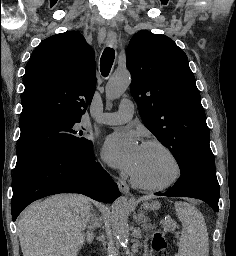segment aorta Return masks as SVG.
Masks as SVG:
<instances>
[{"label": "aorta", "mask_w": 236, "mask_h": 256, "mask_svg": "<svg viewBox=\"0 0 236 256\" xmlns=\"http://www.w3.org/2000/svg\"><path fill=\"white\" fill-rule=\"evenodd\" d=\"M131 83L130 73L127 70L117 71L109 79L106 85V98L114 100L120 97ZM128 201L125 197H119L115 200L111 213V225L122 247L126 248L129 237L128 225Z\"/></svg>", "instance_id": "762f6f07"}]
</instances>
